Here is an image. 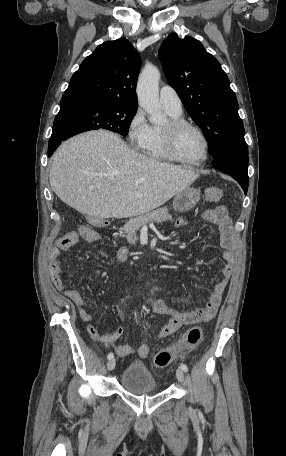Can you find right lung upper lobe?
<instances>
[{
  "label": "right lung upper lobe",
  "instance_id": "cb5924a9",
  "mask_svg": "<svg viewBox=\"0 0 286 456\" xmlns=\"http://www.w3.org/2000/svg\"><path fill=\"white\" fill-rule=\"evenodd\" d=\"M140 56L126 38L99 45L72 76L64 95L137 107Z\"/></svg>",
  "mask_w": 286,
  "mask_h": 456
}]
</instances>
